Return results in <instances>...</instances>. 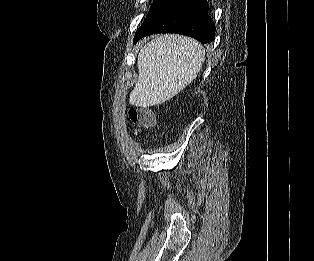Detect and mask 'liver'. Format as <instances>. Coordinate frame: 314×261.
I'll return each instance as SVG.
<instances>
[{
    "mask_svg": "<svg viewBox=\"0 0 314 261\" xmlns=\"http://www.w3.org/2000/svg\"><path fill=\"white\" fill-rule=\"evenodd\" d=\"M205 59L203 46L190 37L166 34L143 45L138 54V81L129 103L139 107L168 101L190 84Z\"/></svg>",
    "mask_w": 314,
    "mask_h": 261,
    "instance_id": "obj_1",
    "label": "liver"
}]
</instances>
